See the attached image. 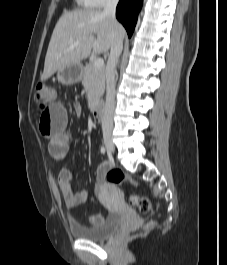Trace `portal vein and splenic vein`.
Instances as JSON below:
<instances>
[{
    "instance_id": "obj_1",
    "label": "portal vein and splenic vein",
    "mask_w": 227,
    "mask_h": 265,
    "mask_svg": "<svg viewBox=\"0 0 227 265\" xmlns=\"http://www.w3.org/2000/svg\"><path fill=\"white\" fill-rule=\"evenodd\" d=\"M74 45H76V43H75ZM94 66H95L96 68H102V67L104 66V60L101 59V58H97V59H95V60H94Z\"/></svg>"
}]
</instances>
